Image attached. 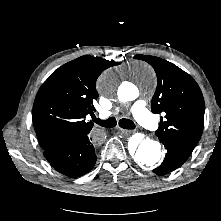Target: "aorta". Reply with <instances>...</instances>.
I'll return each mask as SVG.
<instances>
[{"instance_id":"obj_1","label":"aorta","mask_w":221,"mask_h":221,"mask_svg":"<svg viewBox=\"0 0 221 221\" xmlns=\"http://www.w3.org/2000/svg\"><path fill=\"white\" fill-rule=\"evenodd\" d=\"M136 68L144 72L150 79L154 78L152 68L146 63H137ZM116 86V78L113 74L107 73L100 80V87L103 93L111 95ZM137 97L135 90H119L118 98L122 102H129ZM134 161L142 167H150L158 164L161 160V145L154 140L144 139L137 148L133 150Z\"/></svg>"}]
</instances>
